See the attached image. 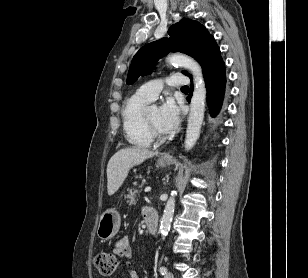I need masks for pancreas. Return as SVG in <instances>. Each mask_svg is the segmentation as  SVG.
Listing matches in <instances>:
<instances>
[{
    "label": "pancreas",
    "instance_id": "cf45deb5",
    "mask_svg": "<svg viewBox=\"0 0 308 278\" xmlns=\"http://www.w3.org/2000/svg\"><path fill=\"white\" fill-rule=\"evenodd\" d=\"M141 187V186H140ZM129 194L126 196L128 200L129 205L136 204V196L139 192L137 189H129Z\"/></svg>",
    "mask_w": 308,
    "mask_h": 278
}]
</instances>
